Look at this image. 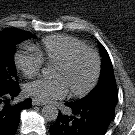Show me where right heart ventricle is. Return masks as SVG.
<instances>
[{
	"label": "right heart ventricle",
	"mask_w": 135,
	"mask_h": 135,
	"mask_svg": "<svg viewBox=\"0 0 135 135\" xmlns=\"http://www.w3.org/2000/svg\"><path fill=\"white\" fill-rule=\"evenodd\" d=\"M83 48H88V46L80 39L56 34L44 37L41 45L37 46L35 51L44 62L55 65L65 59L72 51Z\"/></svg>",
	"instance_id": "1"
}]
</instances>
